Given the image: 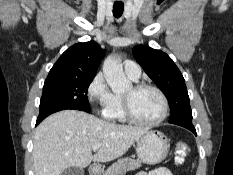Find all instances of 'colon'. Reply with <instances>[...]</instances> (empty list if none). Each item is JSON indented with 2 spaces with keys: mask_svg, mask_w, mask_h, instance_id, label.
I'll return each instance as SVG.
<instances>
[{
  "mask_svg": "<svg viewBox=\"0 0 233 175\" xmlns=\"http://www.w3.org/2000/svg\"><path fill=\"white\" fill-rule=\"evenodd\" d=\"M175 157L178 163H182L190 152V146L186 142H177L174 146Z\"/></svg>",
  "mask_w": 233,
  "mask_h": 175,
  "instance_id": "5ec220e1",
  "label": "colon"
}]
</instances>
